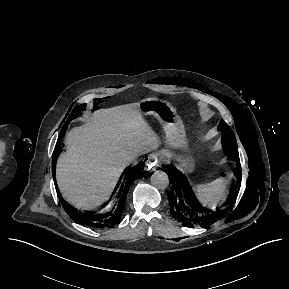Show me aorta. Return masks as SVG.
<instances>
[{
	"label": "aorta",
	"mask_w": 289,
	"mask_h": 289,
	"mask_svg": "<svg viewBox=\"0 0 289 289\" xmlns=\"http://www.w3.org/2000/svg\"><path fill=\"white\" fill-rule=\"evenodd\" d=\"M151 185L157 189H165L169 185V177L168 175L161 171H155L150 177Z\"/></svg>",
	"instance_id": "aorta-1"
}]
</instances>
